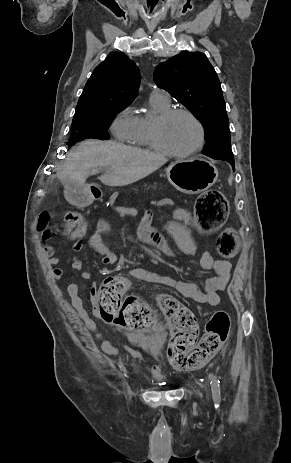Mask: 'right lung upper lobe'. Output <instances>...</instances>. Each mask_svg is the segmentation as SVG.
Returning a JSON list of instances; mask_svg holds the SVG:
<instances>
[{
	"instance_id": "cb5924a9",
	"label": "right lung upper lobe",
	"mask_w": 291,
	"mask_h": 463,
	"mask_svg": "<svg viewBox=\"0 0 291 463\" xmlns=\"http://www.w3.org/2000/svg\"><path fill=\"white\" fill-rule=\"evenodd\" d=\"M139 84L140 73L135 63L122 52H111L87 81L75 115L94 111L106 102L131 104Z\"/></svg>"
}]
</instances>
